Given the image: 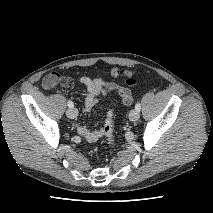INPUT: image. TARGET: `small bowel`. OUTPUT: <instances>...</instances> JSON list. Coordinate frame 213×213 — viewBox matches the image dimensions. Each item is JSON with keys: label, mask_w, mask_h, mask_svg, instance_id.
I'll return each mask as SVG.
<instances>
[{"label": "small bowel", "mask_w": 213, "mask_h": 213, "mask_svg": "<svg viewBox=\"0 0 213 213\" xmlns=\"http://www.w3.org/2000/svg\"><path fill=\"white\" fill-rule=\"evenodd\" d=\"M55 78V80H52ZM80 84L86 87V93L84 94L83 108L88 111L93 108L97 102V96L100 94H107L110 92H117L121 96L122 105H128L133 101L132 95L129 97H124L122 91L126 88H122L119 85L104 81L102 79H92L88 76H83L79 80ZM62 83L63 85H68L69 81H62L61 77L57 73H50L43 80V87L45 89H51ZM77 131L80 135L85 137L89 142H95L102 136V130L93 129L90 130L85 126H78Z\"/></svg>", "instance_id": "c3829d8e"}]
</instances>
